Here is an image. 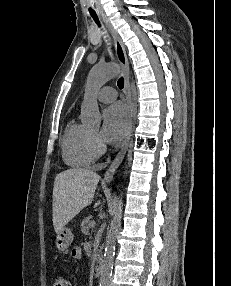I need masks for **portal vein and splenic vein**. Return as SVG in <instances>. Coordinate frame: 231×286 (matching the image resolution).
I'll return each instance as SVG.
<instances>
[{"mask_svg": "<svg viewBox=\"0 0 231 286\" xmlns=\"http://www.w3.org/2000/svg\"><path fill=\"white\" fill-rule=\"evenodd\" d=\"M95 225H96L95 221H91V223H90V227L94 228V227H95Z\"/></svg>", "mask_w": 231, "mask_h": 286, "instance_id": "18ae733b", "label": "portal vein and splenic vein"}]
</instances>
